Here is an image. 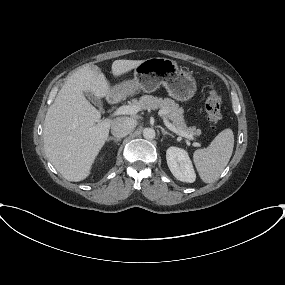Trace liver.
Here are the masks:
<instances>
[{
    "mask_svg": "<svg viewBox=\"0 0 285 285\" xmlns=\"http://www.w3.org/2000/svg\"><path fill=\"white\" fill-rule=\"evenodd\" d=\"M142 61L115 60L112 73L121 76ZM114 91L97 65H86L67 79L47 110L43 130L45 153L66 180L78 182L90 175L113 123L111 119H101L100 112L84 92L100 99L111 96Z\"/></svg>",
    "mask_w": 285,
    "mask_h": 285,
    "instance_id": "6515ba94",
    "label": "liver"
}]
</instances>
